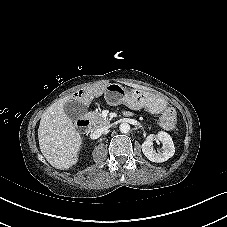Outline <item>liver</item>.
I'll return each instance as SVG.
<instances>
[{
  "label": "liver",
  "instance_id": "liver-1",
  "mask_svg": "<svg viewBox=\"0 0 227 227\" xmlns=\"http://www.w3.org/2000/svg\"><path fill=\"white\" fill-rule=\"evenodd\" d=\"M70 99L68 96L48 107L38 128L41 153L51 166L60 170H67L77 163L82 145L80 134L64 110Z\"/></svg>",
  "mask_w": 227,
  "mask_h": 227
}]
</instances>
